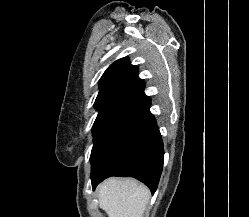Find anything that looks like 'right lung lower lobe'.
<instances>
[{
	"mask_svg": "<svg viewBox=\"0 0 249 217\" xmlns=\"http://www.w3.org/2000/svg\"><path fill=\"white\" fill-rule=\"evenodd\" d=\"M144 81L125 92L100 120L91 152L93 189L110 176L134 177L156 191L163 167V143Z\"/></svg>",
	"mask_w": 249,
	"mask_h": 217,
	"instance_id": "98d812e1",
	"label": "right lung lower lobe"
}]
</instances>
